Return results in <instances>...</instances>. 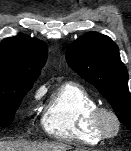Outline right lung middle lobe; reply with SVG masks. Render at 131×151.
<instances>
[{
	"label": "right lung middle lobe",
	"instance_id": "dd1d6c3e",
	"mask_svg": "<svg viewBox=\"0 0 131 151\" xmlns=\"http://www.w3.org/2000/svg\"><path fill=\"white\" fill-rule=\"evenodd\" d=\"M32 85L0 83V126L8 125Z\"/></svg>",
	"mask_w": 131,
	"mask_h": 151
}]
</instances>
